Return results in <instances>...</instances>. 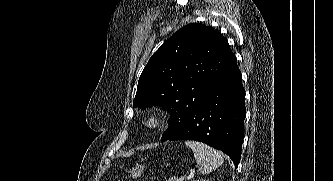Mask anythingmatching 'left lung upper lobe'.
<instances>
[{"label":"left lung upper lobe","mask_w":333,"mask_h":181,"mask_svg":"<svg viewBox=\"0 0 333 181\" xmlns=\"http://www.w3.org/2000/svg\"><path fill=\"white\" fill-rule=\"evenodd\" d=\"M236 60L219 32L199 23L188 24L149 59L133 107L163 106L169 109L172 121L197 109L211 84Z\"/></svg>","instance_id":"obj_1"}]
</instances>
